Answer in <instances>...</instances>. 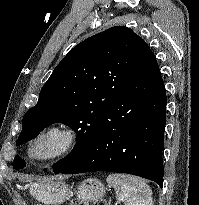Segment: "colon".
I'll list each match as a JSON object with an SVG mask.
<instances>
[{"mask_svg":"<svg viewBox=\"0 0 199 205\" xmlns=\"http://www.w3.org/2000/svg\"><path fill=\"white\" fill-rule=\"evenodd\" d=\"M70 205H81L79 204L78 202L74 201L72 202ZM95 205H106L105 201L104 200H99L95 203Z\"/></svg>","mask_w":199,"mask_h":205,"instance_id":"colon-1","label":"colon"}]
</instances>
